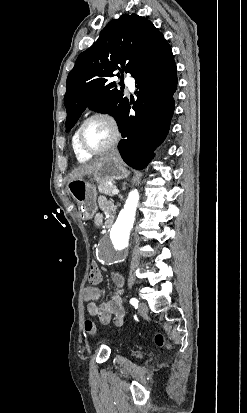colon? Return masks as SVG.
<instances>
[{"instance_id":"1","label":"colon","mask_w":247,"mask_h":413,"mask_svg":"<svg viewBox=\"0 0 247 413\" xmlns=\"http://www.w3.org/2000/svg\"><path fill=\"white\" fill-rule=\"evenodd\" d=\"M88 283L90 285H95L96 283L101 282V268L97 266L96 262L88 263ZM84 331L88 335H95L97 332L96 324L92 319H86L84 321ZM154 341L158 346H161L163 350L168 348L166 344L165 337L162 332H155Z\"/></svg>"}]
</instances>
